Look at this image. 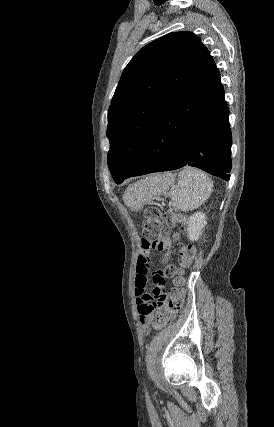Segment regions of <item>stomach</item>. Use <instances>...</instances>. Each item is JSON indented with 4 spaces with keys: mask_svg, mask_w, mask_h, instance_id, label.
<instances>
[{
    "mask_svg": "<svg viewBox=\"0 0 274 427\" xmlns=\"http://www.w3.org/2000/svg\"><path fill=\"white\" fill-rule=\"evenodd\" d=\"M149 180H158L159 182H162L164 184L163 188L165 190H169V188H172L174 184V176L173 174H158V176H150ZM133 194H142V196H133ZM152 190H145V188H138V186H130L127 190V204L129 208H143L144 204L146 202H149L153 196H151Z\"/></svg>",
    "mask_w": 274,
    "mask_h": 427,
    "instance_id": "1",
    "label": "stomach"
}]
</instances>
